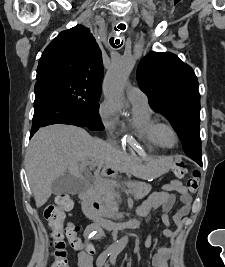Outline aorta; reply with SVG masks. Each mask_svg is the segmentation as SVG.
<instances>
[{"instance_id": "obj_1", "label": "aorta", "mask_w": 225, "mask_h": 267, "mask_svg": "<svg viewBox=\"0 0 225 267\" xmlns=\"http://www.w3.org/2000/svg\"><path fill=\"white\" fill-rule=\"evenodd\" d=\"M135 60L131 57L121 56L114 60L108 70L104 81V96L114 106L122 107L124 105L123 90L125 82L132 71ZM128 243V237L125 236L115 242L112 247L116 251H121Z\"/></svg>"}]
</instances>
